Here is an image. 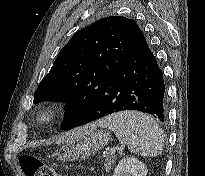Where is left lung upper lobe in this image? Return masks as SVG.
Segmentation results:
<instances>
[{"label":"left lung upper lobe","mask_w":205,"mask_h":176,"mask_svg":"<svg viewBox=\"0 0 205 176\" xmlns=\"http://www.w3.org/2000/svg\"><path fill=\"white\" fill-rule=\"evenodd\" d=\"M144 40L133 19L110 16L73 35L34 93V103L67 101L62 129L74 128L106 83Z\"/></svg>","instance_id":"1"}]
</instances>
